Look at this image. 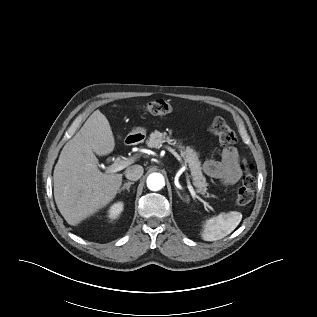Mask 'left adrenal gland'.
<instances>
[{
	"label": "left adrenal gland",
	"mask_w": 317,
	"mask_h": 317,
	"mask_svg": "<svg viewBox=\"0 0 317 317\" xmlns=\"http://www.w3.org/2000/svg\"><path fill=\"white\" fill-rule=\"evenodd\" d=\"M177 190V189H176ZM177 194H178V196L183 200V201H185V202H188L189 201V196L188 195H186V198H184V197H182L181 196V194H180V192L177 190Z\"/></svg>",
	"instance_id": "obj_1"
}]
</instances>
